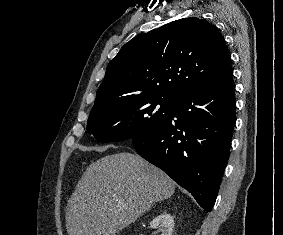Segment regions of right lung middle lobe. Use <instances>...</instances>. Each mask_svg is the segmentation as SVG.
Instances as JSON below:
<instances>
[{"instance_id":"right-lung-middle-lobe-1","label":"right lung middle lobe","mask_w":283,"mask_h":235,"mask_svg":"<svg viewBox=\"0 0 283 235\" xmlns=\"http://www.w3.org/2000/svg\"><path fill=\"white\" fill-rule=\"evenodd\" d=\"M173 99L145 96L103 103L92 108L87 131L100 142L145 136L170 115Z\"/></svg>"}]
</instances>
